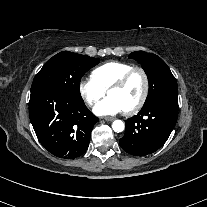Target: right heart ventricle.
Returning a JSON list of instances; mask_svg holds the SVG:
<instances>
[{
    "instance_id": "obj_1",
    "label": "right heart ventricle",
    "mask_w": 207,
    "mask_h": 207,
    "mask_svg": "<svg viewBox=\"0 0 207 207\" xmlns=\"http://www.w3.org/2000/svg\"><path fill=\"white\" fill-rule=\"evenodd\" d=\"M133 66L121 61H108L92 71L93 79L105 90Z\"/></svg>"
}]
</instances>
